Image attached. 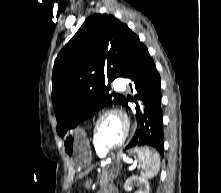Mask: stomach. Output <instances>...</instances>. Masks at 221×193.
<instances>
[{
    "label": "stomach",
    "instance_id": "obj_1",
    "mask_svg": "<svg viewBox=\"0 0 221 193\" xmlns=\"http://www.w3.org/2000/svg\"><path fill=\"white\" fill-rule=\"evenodd\" d=\"M60 138H64V155L75 159L76 167H91V150L82 129H69V133H60ZM87 179H98V174H87Z\"/></svg>",
    "mask_w": 221,
    "mask_h": 193
}]
</instances>
